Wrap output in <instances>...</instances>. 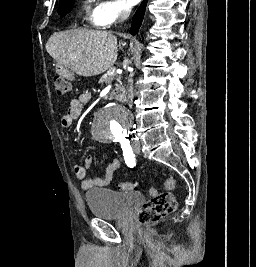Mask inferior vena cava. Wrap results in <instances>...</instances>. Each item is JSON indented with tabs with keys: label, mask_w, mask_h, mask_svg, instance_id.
<instances>
[{
	"label": "inferior vena cava",
	"mask_w": 256,
	"mask_h": 267,
	"mask_svg": "<svg viewBox=\"0 0 256 267\" xmlns=\"http://www.w3.org/2000/svg\"><path fill=\"white\" fill-rule=\"evenodd\" d=\"M131 14V8H128V6H123L122 12H121V20H127ZM127 102L129 108H132L133 106V98H134V90H133V74H129L127 78Z\"/></svg>",
	"instance_id": "obj_1"
}]
</instances>
